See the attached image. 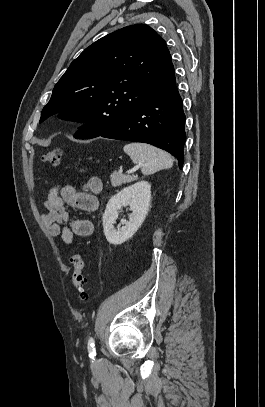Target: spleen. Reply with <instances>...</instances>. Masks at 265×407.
<instances>
[{
  "instance_id": "3e777b00",
  "label": "spleen",
  "mask_w": 265,
  "mask_h": 407,
  "mask_svg": "<svg viewBox=\"0 0 265 407\" xmlns=\"http://www.w3.org/2000/svg\"><path fill=\"white\" fill-rule=\"evenodd\" d=\"M123 150L130 156L133 163L141 167L144 175L173 166V159L167 152L146 143H129Z\"/></svg>"
}]
</instances>
